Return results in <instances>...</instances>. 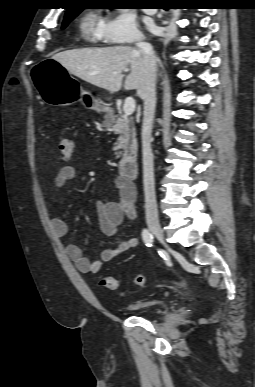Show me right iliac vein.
I'll return each instance as SVG.
<instances>
[{
	"label": "right iliac vein",
	"mask_w": 255,
	"mask_h": 387,
	"mask_svg": "<svg viewBox=\"0 0 255 387\" xmlns=\"http://www.w3.org/2000/svg\"><path fill=\"white\" fill-rule=\"evenodd\" d=\"M149 229L152 231V233L157 237V239L164 243V233L159 223L157 222H150L148 224Z\"/></svg>",
	"instance_id": "right-iliac-vein-1"
}]
</instances>
